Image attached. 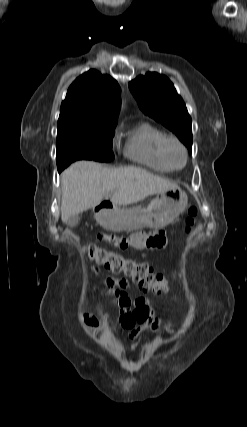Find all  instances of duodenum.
Listing matches in <instances>:
<instances>
[{
  "instance_id": "obj_1",
  "label": "duodenum",
  "mask_w": 247,
  "mask_h": 427,
  "mask_svg": "<svg viewBox=\"0 0 247 427\" xmlns=\"http://www.w3.org/2000/svg\"><path fill=\"white\" fill-rule=\"evenodd\" d=\"M100 210H102V211H109L112 207H111V205H109V204H107V203H104V204H102V205H100Z\"/></svg>"
}]
</instances>
